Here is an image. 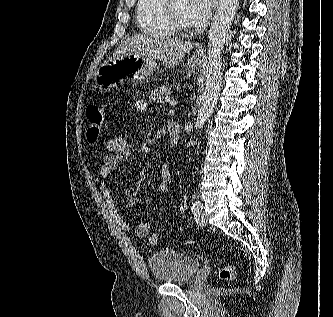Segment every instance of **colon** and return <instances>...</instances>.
<instances>
[{
	"instance_id": "5ec220e1",
	"label": "colon",
	"mask_w": 333,
	"mask_h": 317,
	"mask_svg": "<svg viewBox=\"0 0 333 317\" xmlns=\"http://www.w3.org/2000/svg\"><path fill=\"white\" fill-rule=\"evenodd\" d=\"M106 109L105 106L99 102H93L87 106V132L86 138L90 145H95L99 139V135L105 120ZM149 242L152 245L158 243V235L152 233L149 236ZM234 268L231 264H225L218 270V278L222 281L228 282L234 278Z\"/></svg>"
}]
</instances>
